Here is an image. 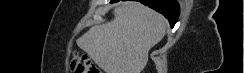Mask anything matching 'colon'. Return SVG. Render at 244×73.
<instances>
[{"label": "colon", "mask_w": 244, "mask_h": 73, "mask_svg": "<svg viewBox=\"0 0 244 73\" xmlns=\"http://www.w3.org/2000/svg\"><path fill=\"white\" fill-rule=\"evenodd\" d=\"M72 73H101L87 55H75L70 62Z\"/></svg>", "instance_id": "obj_1"}]
</instances>
